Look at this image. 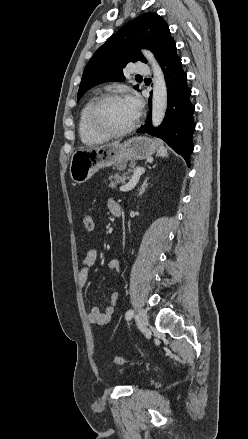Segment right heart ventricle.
Returning <instances> with one entry per match:
<instances>
[{"mask_svg": "<svg viewBox=\"0 0 248 439\" xmlns=\"http://www.w3.org/2000/svg\"><path fill=\"white\" fill-rule=\"evenodd\" d=\"M97 96H92L83 105L78 119V132L81 141L87 145H97L108 140L109 137L95 132L89 125L88 114L92 104L96 101Z\"/></svg>", "mask_w": 248, "mask_h": 439, "instance_id": "e07e8e85", "label": "right heart ventricle"}]
</instances>
